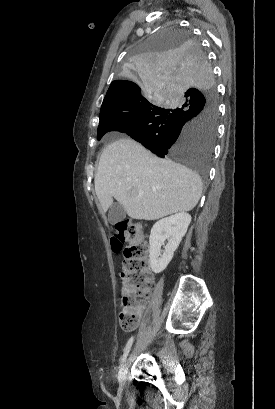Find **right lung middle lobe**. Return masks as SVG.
Listing matches in <instances>:
<instances>
[{
    "label": "right lung middle lobe",
    "instance_id": "obj_1",
    "mask_svg": "<svg viewBox=\"0 0 275 409\" xmlns=\"http://www.w3.org/2000/svg\"><path fill=\"white\" fill-rule=\"evenodd\" d=\"M119 71L129 85L147 90L100 112L97 139L120 131L166 160L209 177L216 138L215 83L201 41L179 24L145 36L127 50ZM202 187V184H199Z\"/></svg>",
    "mask_w": 275,
    "mask_h": 409
}]
</instances>
